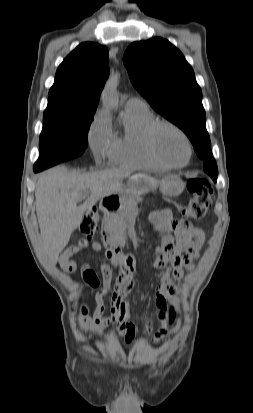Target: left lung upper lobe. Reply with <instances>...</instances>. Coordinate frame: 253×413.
Wrapping results in <instances>:
<instances>
[{"mask_svg":"<svg viewBox=\"0 0 253 413\" xmlns=\"http://www.w3.org/2000/svg\"><path fill=\"white\" fill-rule=\"evenodd\" d=\"M123 61L134 87L155 111L186 133L203 160L204 171L217 178L202 91L183 54L168 40L156 37L132 43Z\"/></svg>","mask_w":253,"mask_h":413,"instance_id":"left-lung-upper-lobe-1","label":"left lung upper lobe"}]
</instances>
